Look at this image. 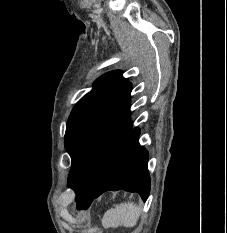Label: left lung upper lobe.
<instances>
[{"label": "left lung upper lobe", "instance_id": "1", "mask_svg": "<svg viewBox=\"0 0 227 233\" xmlns=\"http://www.w3.org/2000/svg\"><path fill=\"white\" fill-rule=\"evenodd\" d=\"M130 93L131 83L121 71L108 72L73 108L65 148L72 159L68 186L76 201L95 191L112 154L132 130Z\"/></svg>", "mask_w": 227, "mask_h": 233}]
</instances>
